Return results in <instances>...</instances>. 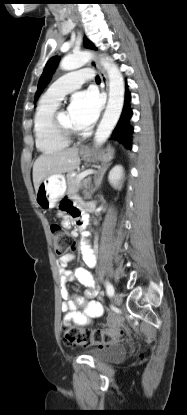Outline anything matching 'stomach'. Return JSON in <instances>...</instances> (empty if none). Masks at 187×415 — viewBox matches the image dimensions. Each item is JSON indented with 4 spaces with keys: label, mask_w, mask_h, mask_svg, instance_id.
I'll return each instance as SVG.
<instances>
[{
    "label": "stomach",
    "mask_w": 187,
    "mask_h": 415,
    "mask_svg": "<svg viewBox=\"0 0 187 415\" xmlns=\"http://www.w3.org/2000/svg\"><path fill=\"white\" fill-rule=\"evenodd\" d=\"M81 155L88 156V153L81 151ZM114 156V149L108 146L100 155L99 160L106 163ZM66 191V180L62 174H53L46 177L40 184L36 192L37 205L44 211L56 207L59 200L64 196Z\"/></svg>",
    "instance_id": "obj_1"
}]
</instances>
